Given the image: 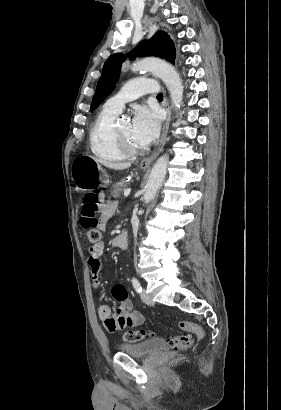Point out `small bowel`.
Returning <instances> with one entry per match:
<instances>
[{
  "mask_svg": "<svg viewBox=\"0 0 281 410\" xmlns=\"http://www.w3.org/2000/svg\"><path fill=\"white\" fill-rule=\"evenodd\" d=\"M115 209V203L109 202L101 205V216L98 224L100 230L105 229L106 223L115 212ZM104 248V242H99L92 245L88 251V264L92 275V284L96 290H99L102 285L100 280V257L104 252ZM111 294L116 301L120 302L116 311L108 305H102L98 309L99 319L109 332L114 333L127 326L140 325L144 322V316L132 309L129 293L124 285L120 283L114 284L111 288Z\"/></svg>",
  "mask_w": 281,
  "mask_h": 410,
  "instance_id": "1",
  "label": "small bowel"
}]
</instances>
